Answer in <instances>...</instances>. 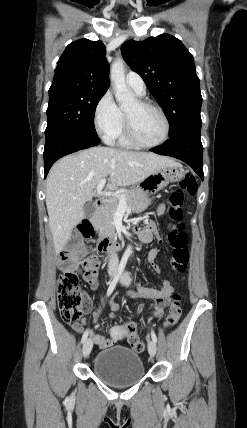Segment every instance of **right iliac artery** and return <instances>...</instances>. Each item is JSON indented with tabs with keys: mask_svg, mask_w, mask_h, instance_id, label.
Segmentation results:
<instances>
[{
	"mask_svg": "<svg viewBox=\"0 0 247 428\" xmlns=\"http://www.w3.org/2000/svg\"><path fill=\"white\" fill-rule=\"evenodd\" d=\"M127 260H128V257H127V256H123V257H122V259H121V261H120V264H119V267H118V269H117V272H116V274H115V276H114L113 280L110 282L109 288H108V290H107V297H108V296H110V295H111V293L113 292V290L115 289V287H116V285H117V283H118V280H119V278L121 277V275H122V273H123V271H124V269H125V266H126ZM88 334H89V331H88V329H87V330L85 331V333L83 334V336H82V339H81V342H82V343H84V342L86 341V339H87V337H88Z\"/></svg>",
	"mask_w": 247,
	"mask_h": 428,
	"instance_id": "1",
	"label": "right iliac artery"
}]
</instances>
